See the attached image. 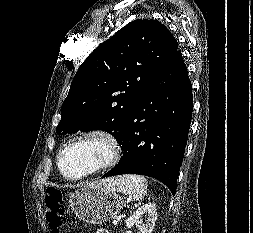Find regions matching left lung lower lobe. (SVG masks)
Segmentation results:
<instances>
[{"label":"left lung lower lobe","instance_id":"1","mask_svg":"<svg viewBox=\"0 0 253 233\" xmlns=\"http://www.w3.org/2000/svg\"><path fill=\"white\" fill-rule=\"evenodd\" d=\"M191 82L177 50L159 80L128 117L118 141L119 163L103 177L146 175L176 193V183L192 118Z\"/></svg>","mask_w":253,"mask_h":233}]
</instances>
